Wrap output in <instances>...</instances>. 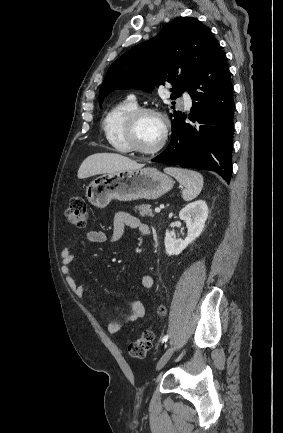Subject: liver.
Returning <instances> with one entry per match:
<instances>
[{"mask_svg": "<svg viewBox=\"0 0 283 433\" xmlns=\"http://www.w3.org/2000/svg\"><path fill=\"white\" fill-rule=\"evenodd\" d=\"M143 164H139L136 160H131L123 154L116 152H96L90 154L79 166L77 172L78 178H87L94 174H103V172H119V170H138Z\"/></svg>", "mask_w": 283, "mask_h": 433, "instance_id": "obj_1", "label": "liver"}]
</instances>
